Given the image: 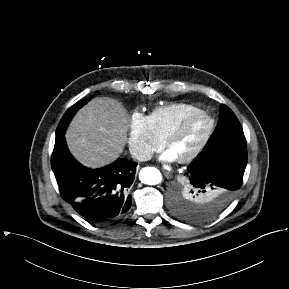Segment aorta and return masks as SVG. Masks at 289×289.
<instances>
[{
    "label": "aorta",
    "mask_w": 289,
    "mask_h": 289,
    "mask_svg": "<svg viewBox=\"0 0 289 289\" xmlns=\"http://www.w3.org/2000/svg\"><path fill=\"white\" fill-rule=\"evenodd\" d=\"M139 179L147 185H157L162 181L160 171L154 167H145L139 173Z\"/></svg>",
    "instance_id": "obj_1"
}]
</instances>
